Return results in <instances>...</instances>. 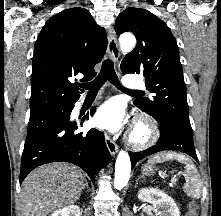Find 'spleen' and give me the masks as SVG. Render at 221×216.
I'll use <instances>...</instances> for the list:
<instances>
[{"mask_svg": "<svg viewBox=\"0 0 221 216\" xmlns=\"http://www.w3.org/2000/svg\"><path fill=\"white\" fill-rule=\"evenodd\" d=\"M170 159H176L185 164L186 193L198 199L201 193V183L199 181L198 171L193 162L185 155L174 152L159 153L154 155L149 160V163H162Z\"/></svg>", "mask_w": 221, "mask_h": 216, "instance_id": "3e777b00", "label": "spleen"}]
</instances>
